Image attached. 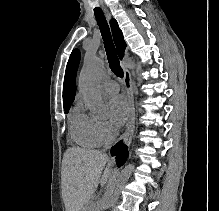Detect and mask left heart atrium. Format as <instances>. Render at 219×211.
<instances>
[{
	"mask_svg": "<svg viewBox=\"0 0 219 211\" xmlns=\"http://www.w3.org/2000/svg\"><path fill=\"white\" fill-rule=\"evenodd\" d=\"M108 110L111 123L116 127L124 125L129 117V106L121 96H115L109 101Z\"/></svg>",
	"mask_w": 219,
	"mask_h": 211,
	"instance_id": "1",
	"label": "left heart atrium"
}]
</instances>
